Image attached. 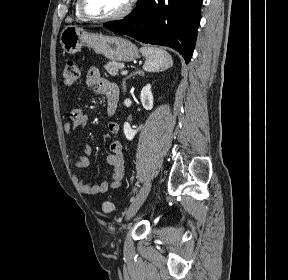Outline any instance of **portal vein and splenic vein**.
Listing matches in <instances>:
<instances>
[{
	"instance_id": "18ae733b",
	"label": "portal vein and splenic vein",
	"mask_w": 288,
	"mask_h": 280,
	"mask_svg": "<svg viewBox=\"0 0 288 280\" xmlns=\"http://www.w3.org/2000/svg\"><path fill=\"white\" fill-rule=\"evenodd\" d=\"M127 73H128L127 70H122V71H121V74H122V75H126Z\"/></svg>"
}]
</instances>
